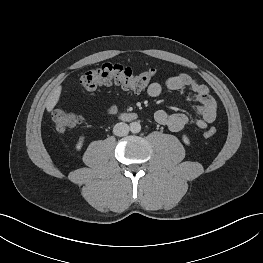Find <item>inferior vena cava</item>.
Instances as JSON below:
<instances>
[{"label": "inferior vena cava", "mask_w": 263, "mask_h": 263, "mask_svg": "<svg viewBox=\"0 0 263 263\" xmlns=\"http://www.w3.org/2000/svg\"><path fill=\"white\" fill-rule=\"evenodd\" d=\"M130 128L126 123L120 122L117 123L113 128V133L116 136H126L129 132Z\"/></svg>", "instance_id": "obj_1"}]
</instances>
